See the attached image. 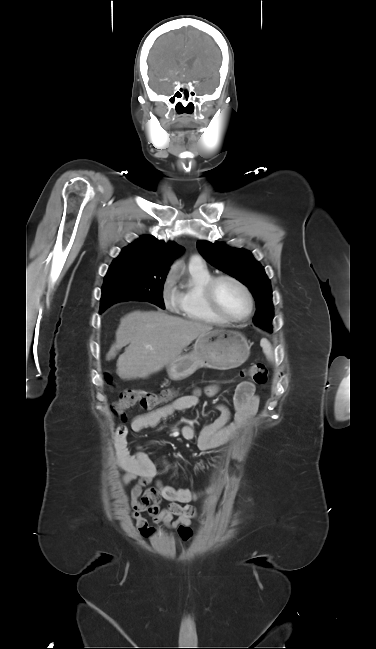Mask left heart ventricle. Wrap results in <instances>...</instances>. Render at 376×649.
<instances>
[{
  "mask_svg": "<svg viewBox=\"0 0 376 649\" xmlns=\"http://www.w3.org/2000/svg\"><path fill=\"white\" fill-rule=\"evenodd\" d=\"M217 297L224 311L234 318L243 317L248 311V301L243 291L231 281L217 286Z\"/></svg>",
  "mask_w": 376,
  "mask_h": 649,
  "instance_id": "left-heart-ventricle-1",
  "label": "left heart ventricle"
}]
</instances>
